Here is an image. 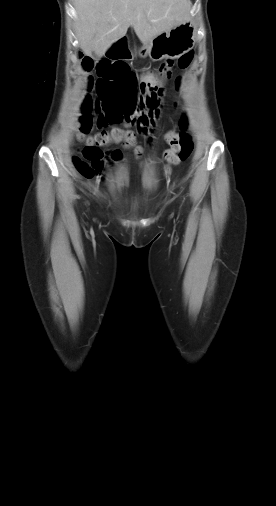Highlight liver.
I'll list each match as a JSON object with an SVG mask.
<instances>
[{
  "label": "liver",
  "mask_w": 276,
  "mask_h": 506,
  "mask_svg": "<svg viewBox=\"0 0 276 506\" xmlns=\"http://www.w3.org/2000/svg\"><path fill=\"white\" fill-rule=\"evenodd\" d=\"M76 36L85 55L98 57L130 26L145 43L190 20V0H74Z\"/></svg>",
  "instance_id": "obj_1"
}]
</instances>
